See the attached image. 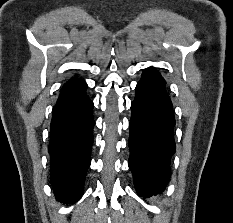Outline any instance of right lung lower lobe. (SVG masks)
<instances>
[{
	"label": "right lung lower lobe",
	"mask_w": 233,
	"mask_h": 223,
	"mask_svg": "<svg viewBox=\"0 0 233 223\" xmlns=\"http://www.w3.org/2000/svg\"><path fill=\"white\" fill-rule=\"evenodd\" d=\"M87 84L71 78L61 89L53 109L49 153L53 191L59 200L76 201L83 194L84 179L91 162L93 102Z\"/></svg>",
	"instance_id": "98d812e1"
}]
</instances>
